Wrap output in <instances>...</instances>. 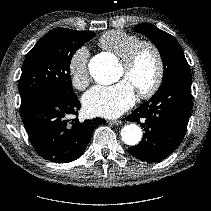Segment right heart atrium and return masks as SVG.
<instances>
[{
    "mask_svg": "<svg viewBox=\"0 0 211 211\" xmlns=\"http://www.w3.org/2000/svg\"><path fill=\"white\" fill-rule=\"evenodd\" d=\"M89 56L88 48L80 46L74 50L68 60V74L73 87L76 89L83 90L90 82Z\"/></svg>",
    "mask_w": 211,
    "mask_h": 211,
    "instance_id": "obj_1",
    "label": "right heart atrium"
}]
</instances>
